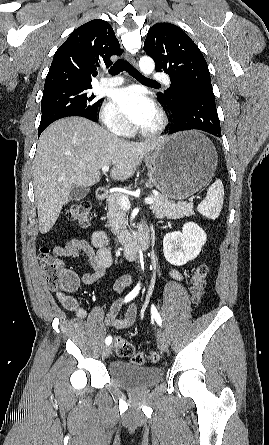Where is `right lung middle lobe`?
<instances>
[{"label":"right lung middle lobe","instance_id":"right-lung-middle-lobe-1","mask_svg":"<svg viewBox=\"0 0 269 445\" xmlns=\"http://www.w3.org/2000/svg\"><path fill=\"white\" fill-rule=\"evenodd\" d=\"M89 86H67L43 91L41 121L38 133L52 122L67 116H82L97 120V109L101 100L90 93Z\"/></svg>","mask_w":269,"mask_h":445}]
</instances>
